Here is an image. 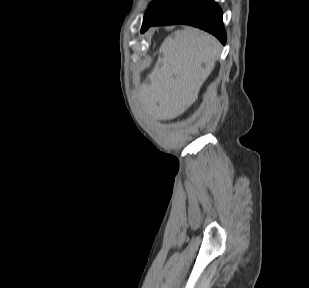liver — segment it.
I'll return each mask as SVG.
<instances>
[{"mask_svg": "<svg viewBox=\"0 0 309 288\" xmlns=\"http://www.w3.org/2000/svg\"><path fill=\"white\" fill-rule=\"evenodd\" d=\"M219 51L217 39L197 28L186 27L168 36L159 49L163 56L148 75L150 85L140 89L146 113L157 120L181 115L197 99Z\"/></svg>", "mask_w": 309, "mask_h": 288, "instance_id": "liver-1", "label": "liver"}]
</instances>
